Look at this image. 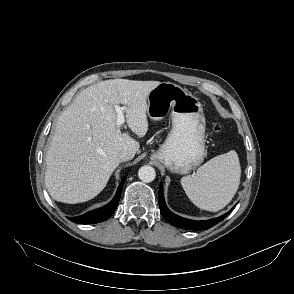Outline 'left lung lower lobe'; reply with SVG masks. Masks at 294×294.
Wrapping results in <instances>:
<instances>
[{
  "mask_svg": "<svg viewBox=\"0 0 294 294\" xmlns=\"http://www.w3.org/2000/svg\"><path fill=\"white\" fill-rule=\"evenodd\" d=\"M158 199H159V206H160V211L164 219L172 224L173 226L183 228V229H188V230H206L220 222L222 219H224L229 213L233 211L235 207H233L228 213L215 218L211 220H206V221H194V220H189L182 218L174 213H172L166 206L164 196H163V191H162V184H160V189L158 193Z\"/></svg>",
  "mask_w": 294,
  "mask_h": 294,
  "instance_id": "1",
  "label": "left lung lower lobe"
}]
</instances>
